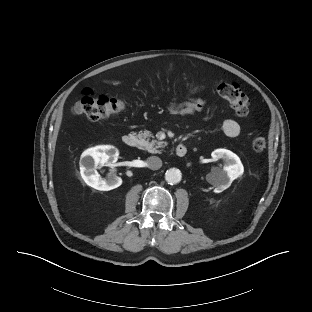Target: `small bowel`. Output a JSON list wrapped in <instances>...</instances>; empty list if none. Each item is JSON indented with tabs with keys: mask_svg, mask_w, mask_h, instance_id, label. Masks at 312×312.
Listing matches in <instances>:
<instances>
[{
	"mask_svg": "<svg viewBox=\"0 0 312 312\" xmlns=\"http://www.w3.org/2000/svg\"><path fill=\"white\" fill-rule=\"evenodd\" d=\"M111 84H118L117 81H110ZM199 88L194 87L192 91H197ZM206 105V100L201 98H189L184 102L173 101L167 107V111L173 115L192 116L203 111ZM223 132L228 137H237L241 132L240 124L233 119H226L222 124Z\"/></svg>",
	"mask_w": 312,
	"mask_h": 312,
	"instance_id": "c3829d8e",
	"label": "small bowel"
}]
</instances>
